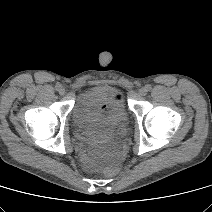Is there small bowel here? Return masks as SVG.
<instances>
[{"mask_svg": "<svg viewBox=\"0 0 212 212\" xmlns=\"http://www.w3.org/2000/svg\"><path fill=\"white\" fill-rule=\"evenodd\" d=\"M96 122L100 128H106L112 125L111 118L108 115L107 107H102L96 115Z\"/></svg>", "mask_w": 212, "mask_h": 212, "instance_id": "small-bowel-1", "label": "small bowel"}]
</instances>
